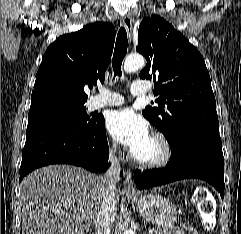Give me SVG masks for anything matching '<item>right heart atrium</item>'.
Segmentation results:
<instances>
[{"instance_id":"right-heart-atrium-1","label":"right heart atrium","mask_w":241,"mask_h":234,"mask_svg":"<svg viewBox=\"0 0 241 234\" xmlns=\"http://www.w3.org/2000/svg\"><path fill=\"white\" fill-rule=\"evenodd\" d=\"M107 150H108V154L113 158H115L119 153V147L117 143L114 141H111L108 143Z\"/></svg>"}]
</instances>
